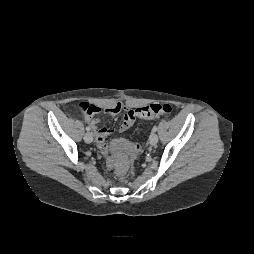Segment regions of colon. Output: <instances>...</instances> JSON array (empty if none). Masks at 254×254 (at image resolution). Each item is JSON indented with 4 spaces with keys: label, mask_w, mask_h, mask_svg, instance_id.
I'll list each match as a JSON object with an SVG mask.
<instances>
[{
    "label": "colon",
    "mask_w": 254,
    "mask_h": 254,
    "mask_svg": "<svg viewBox=\"0 0 254 254\" xmlns=\"http://www.w3.org/2000/svg\"><path fill=\"white\" fill-rule=\"evenodd\" d=\"M79 110L81 111L82 114L86 116H92L96 112V107L94 105H90L87 103H81L79 105ZM172 112V107L169 104H149L146 106H141L136 109H134V115L136 117L144 118V119H154V118H159V117H168ZM119 145L124 146L125 148L129 150L135 149V147H138L139 151V146L138 145H129L126 144L125 142H120ZM119 172L121 174L125 173V164L120 163L119 164Z\"/></svg>",
    "instance_id": "colon-1"
}]
</instances>
